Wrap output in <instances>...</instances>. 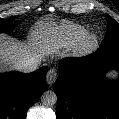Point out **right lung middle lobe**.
<instances>
[{
  "label": "right lung middle lobe",
  "mask_w": 119,
  "mask_h": 119,
  "mask_svg": "<svg viewBox=\"0 0 119 119\" xmlns=\"http://www.w3.org/2000/svg\"><path fill=\"white\" fill-rule=\"evenodd\" d=\"M12 21H13V18H9V19L0 18V33L11 32L13 30Z\"/></svg>",
  "instance_id": "dd1d6c3e"
}]
</instances>
